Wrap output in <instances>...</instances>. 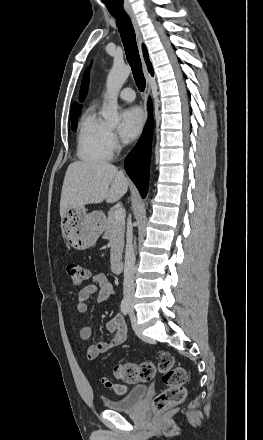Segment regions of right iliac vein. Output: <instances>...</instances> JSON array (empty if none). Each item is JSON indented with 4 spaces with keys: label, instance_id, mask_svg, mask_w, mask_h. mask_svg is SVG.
<instances>
[{
    "label": "right iliac vein",
    "instance_id": "obj_1",
    "mask_svg": "<svg viewBox=\"0 0 263 440\" xmlns=\"http://www.w3.org/2000/svg\"><path fill=\"white\" fill-rule=\"evenodd\" d=\"M127 303H128L129 306H132V300L131 299H128Z\"/></svg>",
    "mask_w": 263,
    "mask_h": 440
}]
</instances>
